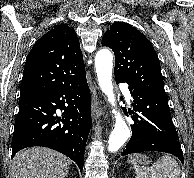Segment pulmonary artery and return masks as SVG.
<instances>
[{"mask_svg":"<svg viewBox=\"0 0 194 178\" xmlns=\"http://www.w3.org/2000/svg\"><path fill=\"white\" fill-rule=\"evenodd\" d=\"M122 91H123V93H124V95H125V97H126L127 99H130V98H131V94H130V91H129V89H128L127 86H124V87L122 88Z\"/></svg>","mask_w":194,"mask_h":178,"instance_id":"1","label":"pulmonary artery"}]
</instances>
